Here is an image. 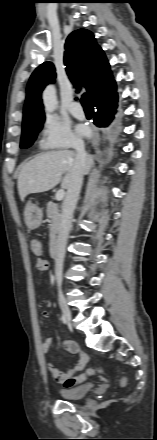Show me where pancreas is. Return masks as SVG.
<instances>
[{
	"label": "pancreas",
	"instance_id": "obj_1",
	"mask_svg": "<svg viewBox=\"0 0 157 440\" xmlns=\"http://www.w3.org/2000/svg\"><path fill=\"white\" fill-rule=\"evenodd\" d=\"M47 216L51 221V224L49 225L50 229V244L52 245L55 243L57 234L59 232L60 228V222H61V214L58 209V206L55 203L49 202L47 204Z\"/></svg>",
	"mask_w": 157,
	"mask_h": 440
}]
</instances>
